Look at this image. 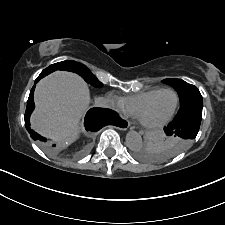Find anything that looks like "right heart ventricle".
I'll list each match as a JSON object with an SVG mask.
<instances>
[{"instance_id":"obj_1","label":"right heart ventricle","mask_w":225,"mask_h":225,"mask_svg":"<svg viewBox=\"0 0 225 225\" xmlns=\"http://www.w3.org/2000/svg\"><path fill=\"white\" fill-rule=\"evenodd\" d=\"M161 88H153L140 91L136 94L121 99L124 111L132 116L137 117L143 105Z\"/></svg>"}]
</instances>
